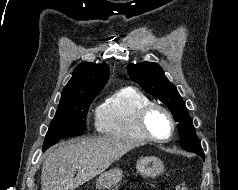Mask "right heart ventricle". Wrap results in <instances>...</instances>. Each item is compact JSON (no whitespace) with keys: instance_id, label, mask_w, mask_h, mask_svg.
I'll use <instances>...</instances> for the list:
<instances>
[{"instance_id":"e07e8e85","label":"right heart ventricle","mask_w":238,"mask_h":190,"mask_svg":"<svg viewBox=\"0 0 238 190\" xmlns=\"http://www.w3.org/2000/svg\"><path fill=\"white\" fill-rule=\"evenodd\" d=\"M149 103L151 100L135 88L125 87L115 91L97 108V131L107 136L147 141L148 138L139 128L137 117L139 111Z\"/></svg>"}]
</instances>
